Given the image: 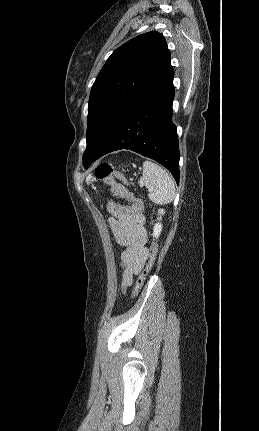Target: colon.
<instances>
[{
	"label": "colon",
	"instance_id": "obj_1",
	"mask_svg": "<svg viewBox=\"0 0 259 431\" xmlns=\"http://www.w3.org/2000/svg\"><path fill=\"white\" fill-rule=\"evenodd\" d=\"M95 176L97 179L108 183L111 187L113 194L119 198L126 199L132 202H121L116 201L115 203L109 202L107 204L108 215L111 217H116L118 220H124L125 218H135L142 215V210H144L145 205L140 200L135 201L132 195L127 189V180L125 177L117 170H115L109 163H101L95 169ZM158 252V244L153 241L150 249L149 256L146 264L142 271L139 273L134 291L133 297L138 296L140 293L147 276L152 270Z\"/></svg>",
	"mask_w": 259,
	"mask_h": 431
}]
</instances>
